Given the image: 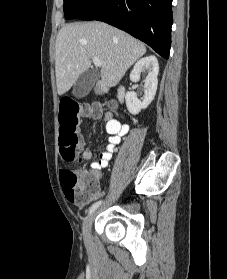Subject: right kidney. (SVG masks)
I'll list each match as a JSON object with an SVG mask.
<instances>
[{
	"label": "right kidney",
	"mask_w": 227,
	"mask_h": 279,
	"mask_svg": "<svg viewBox=\"0 0 227 279\" xmlns=\"http://www.w3.org/2000/svg\"><path fill=\"white\" fill-rule=\"evenodd\" d=\"M145 70L148 71V75L144 81L143 101L137 98V94L134 91H128L125 96L127 109L133 115L138 114L142 109H146L155 97L159 64L154 55L143 57L136 62L130 73V80L133 82L139 81L141 73Z\"/></svg>",
	"instance_id": "obj_1"
}]
</instances>
